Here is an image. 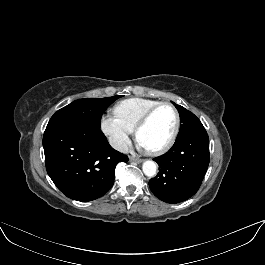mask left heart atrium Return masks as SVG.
Returning a JSON list of instances; mask_svg holds the SVG:
<instances>
[{
    "label": "left heart atrium",
    "mask_w": 265,
    "mask_h": 265,
    "mask_svg": "<svg viewBox=\"0 0 265 265\" xmlns=\"http://www.w3.org/2000/svg\"><path fill=\"white\" fill-rule=\"evenodd\" d=\"M136 147L140 150H146V146L137 138Z\"/></svg>",
    "instance_id": "39dd6f15"
}]
</instances>
